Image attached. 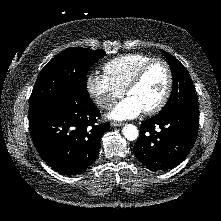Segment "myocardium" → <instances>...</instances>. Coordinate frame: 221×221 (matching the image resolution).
Returning <instances> with one entry per match:
<instances>
[{
    "label": "myocardium",
    "instance_id": "myocardium-1",
    "mask_svg": "<svg viewBox=\"0 0 221 221\" xmlns=\"http://www.w3.org/2000/svg\"><path fill=\"white\" fill-rule=\"evenodd\" d=\"M156 63H160L164 66L166 70V74H167V84H166L165 91L161 99L159 100V102L152 108L143 111L145 115H154L158 113L159 111H161L162 108L166 105L170 97V94L173 88V74H172V70L168 62L161 58L150 59L135 72V74L133 75V77L131 78V80L129 81L128 85L125 88V94L128 95L129 92L141 82L147 70Z\"/></svg>",
    "mask_w": 221,
    "mask_h": 221
}]
</instances>
